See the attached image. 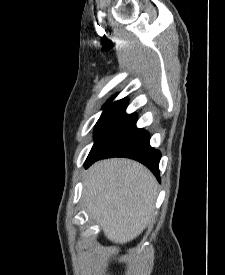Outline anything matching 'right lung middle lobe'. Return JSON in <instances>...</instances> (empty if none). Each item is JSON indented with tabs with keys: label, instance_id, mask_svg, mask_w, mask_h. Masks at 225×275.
Returning a JSON list of instances; mask_svg holds the SVG:
<instances>
[{
	"label": "right lung middle lobe",
	"instance_id": "1",
	"mask_svg": "<svg viewBox=\"0 0 225 275\" xmlns=\"http://www.w3.org/2000/svg\"><path fill=\"white\" fill-rule=\"evenodd\" d=\"M125 119L126 117L123 116H101L95 126V143L90 154L95 150L99 143Z\"/></svg>",
	"mask_w": 225,
	"mask_h": 275
}]
</instances>
